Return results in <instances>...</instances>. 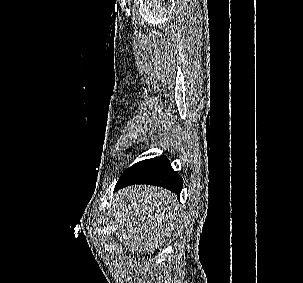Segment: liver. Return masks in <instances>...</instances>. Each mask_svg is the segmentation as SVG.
I'll use <instances>...</instances> for the list:
<instances>
[{
    "instance_id": "1",
    "label": "liver",
    "mask_w": 303,
    "mask_h": 283,
    "mask_svg": "<svg viewBox=\"0 0 303 283\" xmlns=\"http://www.w3.org/2000/svg\"><path fill=\"white\" fill-rule=\"evenodd\" d=\"M177 196L153 186H132L115 194L117 237L131 252L153 253L171 233L179 215Z\"/></svg>"
}]
</instances>
